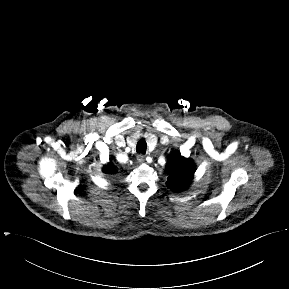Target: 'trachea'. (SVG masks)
<instances>
[{"instance_id": "3493384b", "label": "trachea", "mask_w": 289, "mask_h": 289, "mask_svg": "<svg viewBox=\"0 0 289 289\" xmlns=\"http://www.w3.org/2000/svg\"><path fill=\"white\" fill-rule=\"evenodd\" d=\"M147 149V144L146 141L141 139L138 141L137 146H136V151L141 154H145Z\"/></svg>"}]
</instances>
